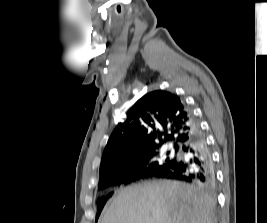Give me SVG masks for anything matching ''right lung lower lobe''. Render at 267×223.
<instances>
[{
    "label": "right lung lower lobe",
    "mask_w": 267,
    "mask_h": 223,
    "mask_svg": "<svg viewBox=\"0 0 267 223\" xmlns=\"http://www.w3.org/2000/svg\"><path fill=\"white\" fill-rule=\"evenodd\" d=\"M176 162L161 170L153 177L184 181L212 188L215 184L214 165L206 140L198 125L197 134L178 150ZM131 182L130 176H120L112 181V185H121ZM103 186L102 188L109 187Z\"/></svg>",
    "instance_id": "1"
}]
</instances>
